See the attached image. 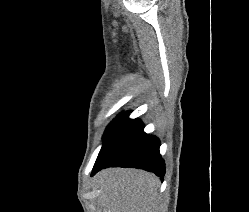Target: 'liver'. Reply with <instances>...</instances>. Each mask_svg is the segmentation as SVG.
Listing matches in <instances>:
<instances>
[{"label": "liver", "mask_w": 249, "mask_h": 212, "mask_svg": "<svg viewBox=\"0 0 249 212\" xmlns=\"http://www.w3.org/2000/svg\"><path fill=\"white\" fill-rule=\"evenodd\" d=\"M93 182L97 206L103 212H155L160 202V180L144 170L107 168Z\"/></svg>", "instance_id": "1"}]
</instances>
